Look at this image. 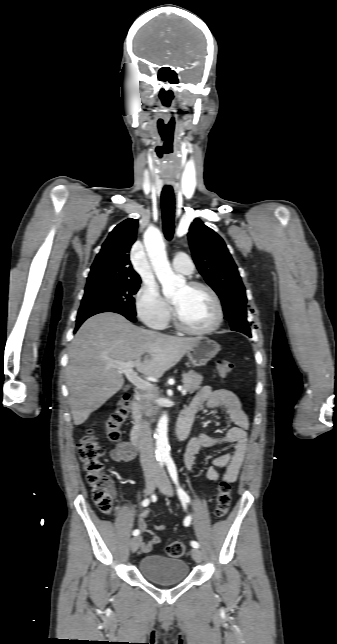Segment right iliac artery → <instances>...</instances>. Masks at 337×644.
Here are the masks:
<instances>
[{
  "mask_svg": "<svg viewBox=\"0 0 337 644\" xmlns=\"http://www.w3.org/2000/svg\"><path fill=\"white\" fill-rule=\"evenodd\" d=\"M159 461H160V465H161V466H163L164 460H159ZM152 498H155V495H153V496H152ZM149 503H150V499L146 498V499H144V500L142 501V506L146 507V506H148V505H149ZM139 533H140V531H139L138 529H135V530L133 531V535H134V536L139 535Z\"/></svg>",
  "mask_w": 337,
  "mask_h": 644,
  "instance_id": "1",
  "label": "right iliac artery"
}]
</instances>
